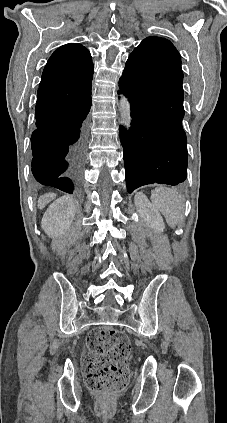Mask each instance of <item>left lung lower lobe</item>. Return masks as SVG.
Masks as SVG:
<instances>
[{
	"instance_id": "left-lung-lower-lobe-1",
	"label": "left lung lower lobe",
	"mask_w": 227,
	"mask_h": 423,
	"mask_svg": "<svg viewBox=\"0 0 227 423\" xmlns=\"http://www.w3.org/2000/svg\"><path fill=\"white\" fill-rule=\"evenodd\" d=\"M131 105V127H120L124 148L127 190L152 183L177 185L187 177L186 134L182 127L184 112L162 111L152 101L149 89L120 79Z\"/></svg>"
}]
</instances>
